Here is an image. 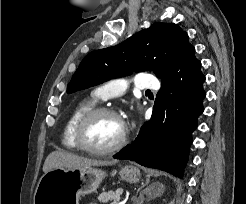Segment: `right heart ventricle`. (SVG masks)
<instances>
[{
	"label": "right heart ventricle",
	"mask_w": 246,
	"mask_h": 204,
	"mask_svg": "<svg viewBox=\"0 0 246 204\" xmlns=\"http://www.w3.org/2000/svg\"><path fill=\"white\" fill-rule=\"evenodd\" d=\"M94 97L86 98L78 102L71 111L64 125L62 133V144L70 150H78L79 147L74 138V132L79 119L90 109L96 106Z\"/></svg>",
	"instance_id": "right-heart-ventricle-1"
}]
</instances>
